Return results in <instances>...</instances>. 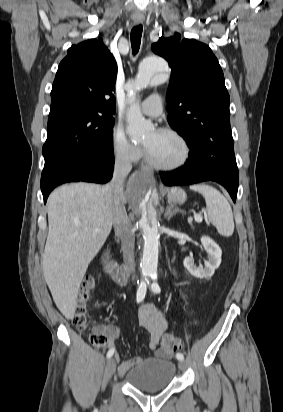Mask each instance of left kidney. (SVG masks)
Wrapping results in <instances>:
<instances>
[{"instance_id": "5707ae66", "label": "left kidney", "mask_w": 283, "mask_h": 412, "mask_svg": "<svg viewBox=\"0 0 283 412\" xmlns=\"http://www.w3.org/2000/svg\"><path fill=\"white\" fill-rule=\"evenodd\" d=\"M201 243L204 250L208 254V260L205 261V266L198 268L194 265L192 257H186L184 259V267L189 271V273L197 278H210L213 276L215 270L221 264L222 250L220 247L209 237H202Z\"/></svg>"}]
</instances>
